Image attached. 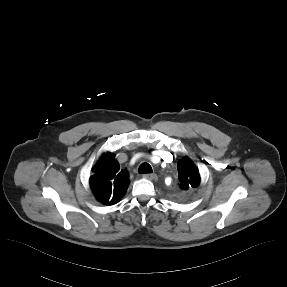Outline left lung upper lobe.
I'll return each mask as SVG.
<instances>
[{"label": "left lung upper lobe", "instance_id": "5c2ea615", "mask_svg": "<svg viewBox=\"0 0 287 287\" xmlns=\"http://www.w3.org/2000/svg\"><path fill=\"white\" fill-rule=\"evenodd\" d=\"M178 179L182 190L195 188L200 183L199 170L188 157L178 162Z\"/></svg>", "mask_w": 287, "mask_h": 287}]
</instances>
